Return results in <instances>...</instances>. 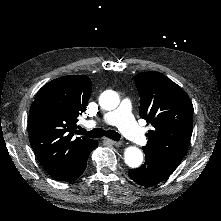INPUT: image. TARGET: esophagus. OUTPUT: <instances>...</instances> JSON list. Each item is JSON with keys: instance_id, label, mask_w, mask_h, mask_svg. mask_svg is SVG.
Segmentation results:
<instances>
[{"instance_id": "esophagus-1", "label": "esophagus", "mask_w": 221, "mask_h": 221, "mask_svg": "<svg viewBox=\"0 0 221 221\" xmlns=\"http://www.w3.org/2000/svg\"><path fill=\"white\" fill-rule=\"evenodd\" d=\"M104 141L111 144V145H114V146H119L120 145V142L113 141V140L108 139V138H104Z\"/></svg>"}]
</instances>
